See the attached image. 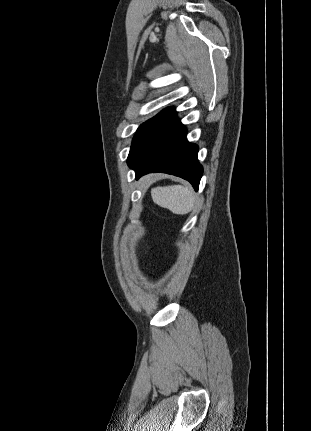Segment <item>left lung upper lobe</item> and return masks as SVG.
I'll list each match as a JSON object with an SVG mask.
<instances>
[{
    "label": "left lung upper lobe",
    "mask_w": 311,
    "mask_h": 431,
    "mask_svg": "<svg viewBox=\"0 0 311 431\" xmlns=\"http://www.w3.org/2000/svg\"><path fill=\"white\" fill-rule=\"evenodd\" d=\"M148 121H149V120H148ZM148 121H147V122H148ZM147 122L143 123V124L138 128V130H137V132H136V134H135V136H134V138H133V141L135 140V138L137 137L138 133L141 131V129L145 126V124H146Z\"/></svg>",
    "instance_id": "5c2ea615"
}]
</instances>
